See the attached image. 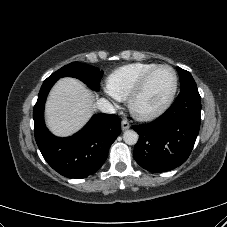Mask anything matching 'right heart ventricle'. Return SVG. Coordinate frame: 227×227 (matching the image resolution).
Instances as JSON below:
<instances>
[{
    "instance_id": "obj_1",
    "label": "right heart ventricle",
    "mask_w": 227,
    "mask_h": 227,
    "mask_svg": "<svg viewBox=\"0 0 227 227\" xmlns=\"http://www.w3.org/2000/svg\"><path fill=\"white\" fill-rule=\"evenodd\" d=\"M157 65L137 62L121 66L108 76L107 89L118 100H127L141 77Z\"/></svg>"
}]
</instances>
